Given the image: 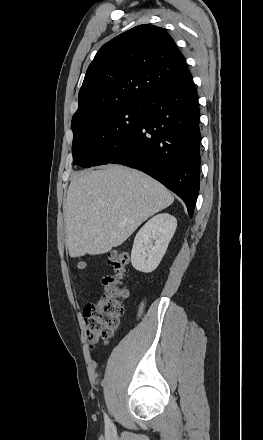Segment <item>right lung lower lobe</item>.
I'll return each mask as SVG.
<instances>
[{"label":"right lung lower lobe","instance_id":"obj_1","mask_svg":"<svg viewBox=\"0 0 263 440\" xmlns=\"http://www.w3.org/2000/svg\"><path fill=\"white\" fill-rule=\"evenodd\" d=\"M144 105L143 120L114 148L109 163L155 178L185 202L192 217L199 193L201 136L191 73L147 98Z\"/></svg>","mask_w":263,"mask_h":440}]
</instances>
